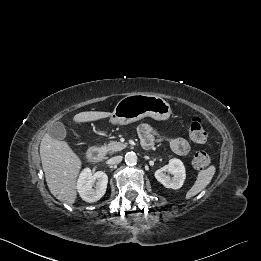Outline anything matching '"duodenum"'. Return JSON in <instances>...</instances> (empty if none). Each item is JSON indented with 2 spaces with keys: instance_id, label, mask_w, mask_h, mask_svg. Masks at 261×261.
<instances>
[{
  "instance_id": "duodenum-1",
  "label": "duodenum",
  "mask_w": 261,
  "mask_h": 261,
  "mask_svg": "<svg viewBox=\"0 0 261 261\" xmlns=\"http://www.w3.org/2000/svg\"><path fill=\"white\" fill-rule=\"evenodd\" d=\"M86 157L90 162L98 163L103 158V152L100 148L94 146L87 150Z\"/></svg>"
}]
</instances>
